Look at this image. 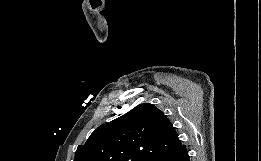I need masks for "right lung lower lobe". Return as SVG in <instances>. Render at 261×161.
Returning <instances> with one entry per match:
<instances>
[{"label": "right lung lower lobe", "instance_id": "obj_1", "mask_svg": "<svg viewBox=\"0 0 261 161\" xmlns=\"http://www.w3.org/2000/svg\"><path fill=\"white\" fill-rule=\"evenodd\" d=\"M150 161H190L185 145H181L174 151L167 152L152 158Z\"/></svg>", "mask_w": 261, "mask_h": 161}]
</instances>
